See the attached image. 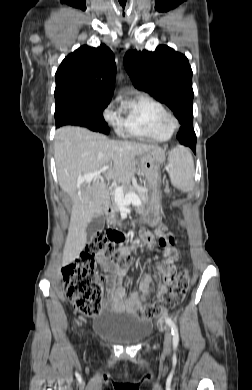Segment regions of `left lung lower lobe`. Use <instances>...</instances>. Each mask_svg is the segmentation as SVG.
<instances>
[{
	"instance_id": "1",
	"label": "left lung lower lobe",
	"mask_w": 252,
	"mask_h": 390,
	"mask_svg": "<svg viewBox=\"0 0 252 390\" xmlns=\"http://www.w3.org/2000/svg\"><path fill=\"white\" fill-rule=\"evenodd\" d=\"M177 138L181 144L190 147L193 152H196V135L193 130V123L186 122L181 124Z\"/></svg>"
}]
</instances>
